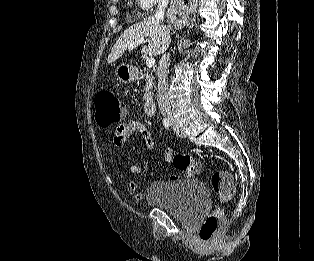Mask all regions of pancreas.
I'll return each instance as SVG.
<instances>
[{"instance_id":"cf45deb5","label":"pancreas","mask_w":314,"mask_h":261,"mask_svg":"<svg viewBox=\"0 0 314 261\" xmlns=\"http://www.w3.org/2000/svg\"><path fill=\"white\" fill-rule=\"evenodd\" d=\"M153 76L149 73L146 74L145 87H144V99L153 98Z\"/></svg>"}]
</instances>
